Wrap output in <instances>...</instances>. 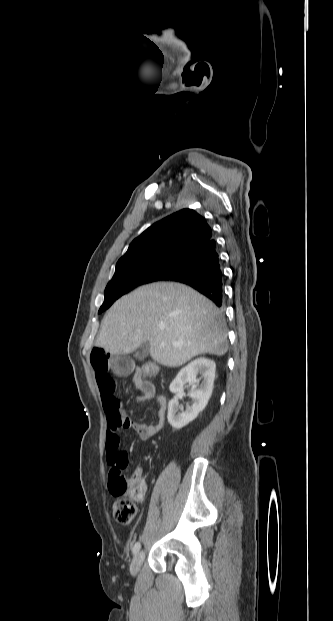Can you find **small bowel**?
<instances>
[{"instance_id":"small-bowel-1","label":"small bowel","mask_w":333,"mask_h":621,"mask_svg":"<svg viewBox=\"0 0 333 621\" xmlns=\"http://www.w3.org/2000/svg\"><path fill=\"white\" fill-rule=\"evenodd\" d=\"M90 362L94 370L106 415V451L108 464L110 468L118 464H122L126 467L128 464V457L127 453L120 449L121 432L123 430L132 429L141 440H148L156 435L161 430L165 421L166 399L157 392L155 386L151 382L144 380L142 377L133 376L134 383L141 392V395L137 398V402L142 403L155 399L159 406L157 413L158 421L156 423L146 424L135 422L128 418L123 412L120 401L115 395V381L110 375V371L114 373L125 371L129 366L128 361L118 356H112L101 347H95L91 351ZM132 477L142 478V470H135ZM144 496L145 493L136 500H143Z\"/></svg>"}]
</instances>
